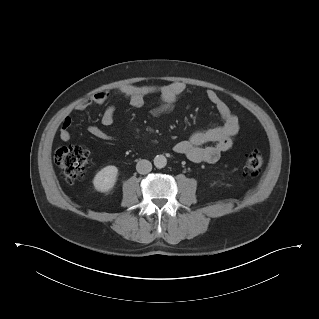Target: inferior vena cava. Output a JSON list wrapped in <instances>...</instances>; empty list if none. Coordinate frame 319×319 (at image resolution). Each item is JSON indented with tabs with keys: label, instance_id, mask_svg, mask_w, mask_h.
I'll list each match as a JSON object with an SVG mask.
<instances>
[{
	"label": "inferior vena cava",
	"instance_id": "602c4592",
	"mask_svg": "<svg viewBox=\"0 0 319 319\" xmlns=\"http://www.w3.org/2000/svg\"><path fill=\"white\" fill-rule=\"evenodd\" d=\"M136 170L139 174H147L152 170V164L146 159L138 161L136 165Z\"/></svg>",
	"mask_w": 319,
	"mask_h": 319
}]
</instances>
